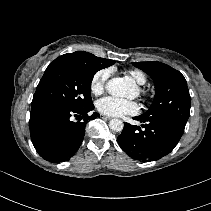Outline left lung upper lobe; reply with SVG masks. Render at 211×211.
Segmentation results:
<instances>
[{
  "instance_id": "left-lung-upper-lobe-1",
  "label": "left lung upper lobe",
  "mask_w": 211,
  "mask_h": 211,
  "mask_svg": "<svg viewBox=\"0 0 211 211\" xmlns=\"http://www.w3.org/2000/svg\"><path fill=\"white\" fill-rule=\"evenodd\" d=\"M133 65L150 75L155 85L152 105L141 116H165L185 126L191 105L184 76L161 62H136Z\"/></svg>"
}]
</instances>
